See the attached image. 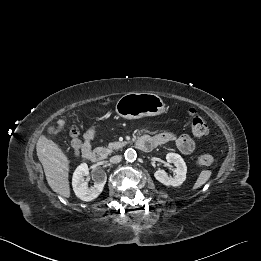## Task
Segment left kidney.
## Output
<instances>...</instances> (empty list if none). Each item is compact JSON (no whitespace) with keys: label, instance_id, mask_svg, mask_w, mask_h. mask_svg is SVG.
<instances>
[{"label":"left kidney","instance_id":"obj_1","mask_svg":"<svg viewBox=\"0 0 261 261\" xmlns=\"http://www.w3.org/2000/svg\"><path fill=\"white\" fill-rule=\"evenodd\" d=\"M168 163L175 165V177H168L167 173L163 169H159L154 173L156 180L166 186H180L186 179L187 166L183 158L176 153H168L166 155Z\"/></svg>","mask_w":261,"mask_h":261}]
</instances>
